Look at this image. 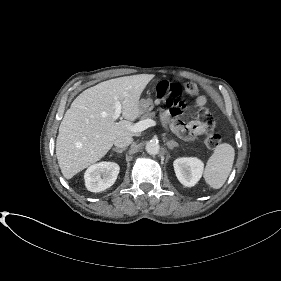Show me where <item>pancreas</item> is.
<instances>
[{"mask_svg": "<svg viewBox=\"0 0 281 281\" xmlns=\"http://www.w3.org/2000/svg\"><path fill=\"white\" fill-rule=\"evenodd\" d=\"M154 117H155V112H147L142 115L141 119L145 120V119H151Z\"/></svg>", "mask_w": 281, "mask_h": 281, "instance_id": "obj_1", "label": "pancreas"}]
</instances>
